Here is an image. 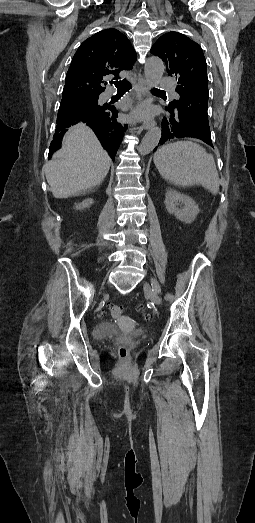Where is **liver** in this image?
<instances>
[{"mask_svg": "<svg viewBox=\"0 0 255 523\" xmlns=\"http://www.w3.org/2000/svg\"><path fill=\"white\" fill-rule=\"evenodd\" d=\"M110 164V156L92 130L77 124L66 132L61 150L43 170L54 198H69L101 184Z\"/></svg>", "mask_w": 255, "mask_h": 523, "instance_id": "6515ba94", "label": "liver"}]
</instances>
